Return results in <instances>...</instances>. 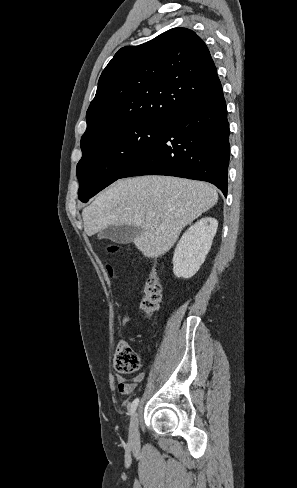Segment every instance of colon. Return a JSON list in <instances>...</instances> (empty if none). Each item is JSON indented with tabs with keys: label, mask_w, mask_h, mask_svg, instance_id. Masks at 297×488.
I'll return each mask as SVG.
<instances>
[{
	"label": "colon",
	"mask_w": 297,
	"mask_h": 488,
	"mask_svg": "<svg viewBox=\"0 0 297 488\" xmlns=\"http://www.w3.org/2000/svg\"><path fill=\"white\" fill-rule=\"evenodd\" d=\"M109 273L112 269L108 266ZM161 300V288L155 277V270L152 272L145 284L144 297L141 302V309L146 316H152L159 308ZM114 364L116 369L123 374L135 373L140 366V360L133 349L125 342H119L116 347Z\"/></svg>",
	"instance_id": "1"
}]
</instances>
